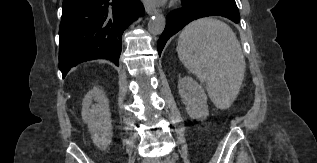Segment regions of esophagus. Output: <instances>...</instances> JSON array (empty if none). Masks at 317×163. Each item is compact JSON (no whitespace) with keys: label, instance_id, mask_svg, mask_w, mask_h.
<instances>
[{"label":"esophagus","instance_id":"esophagus-1","mask_svg":"<svg viewBox=\"0 0 317 163\" xmlns=\"http://www.w3.org/2000/svg\"><path fill=\"white\" fill-rule=\"evenodd\" d=\"M145 11L148 15H154L157 14L158 10L154 7H151L149 5H145Z\"/></svg>","mask_w":317,"mask_h":163}]
</instances>
